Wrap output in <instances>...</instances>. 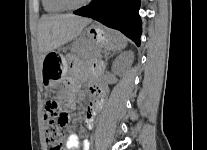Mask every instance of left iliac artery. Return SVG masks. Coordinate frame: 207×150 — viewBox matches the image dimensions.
I'll return each mask as SVG.
<instances>
[{"mask_svg":"<svg viewBox=\"0 0 207 150\" xmlns=\"http://www.w3.org/2000/svg\"><path fill=\"white\" fill-rule=\"evenodd\" d=\"M90 143L88 140H84V150H89Z\"/></svg>","mask_w":207,"mask_h":150,"instance_id":"left-iliac-artery-1","label":"left iliac artery"}]
</instances>
